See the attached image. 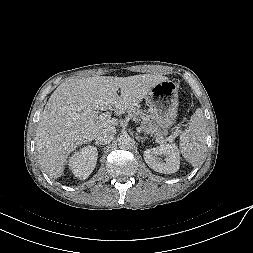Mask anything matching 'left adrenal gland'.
<instances>
[{"label":"left adrenal gland","mask_w":253,"mask_h":253,"mask_svg":"<svg viewBox=\"0 0 253 253\" xmlns=\"http://www.w3.org/2000/svg\"><path fill=\"white\" fill-rule=\"evenodd\" d=\"M136 139L137 140H141V141H144L147 139V137H142V136H139L138 134L136 135Z\"/></svg>","instance_id":"1"}]
</instances>
